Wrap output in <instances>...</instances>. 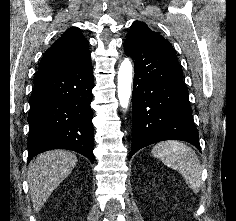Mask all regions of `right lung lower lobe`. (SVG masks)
<instances>
[{
  "label": "right lung lower lobe",
  "mask_w": 236,
  "mask_h": 221,
  "mask_svg": "<svg viewBox=\"0 0 236 221\" xmlns=\"http://www.w3.org/2000/svg\"><path fill=\"white\" fill-rule=\"evenodd\" d=\"M91 62L38 76L30 97L28 163L52 149L76 151L93 162Z\"/></svg>",
  "instance_id": "obj_1"
}]
</instances>
